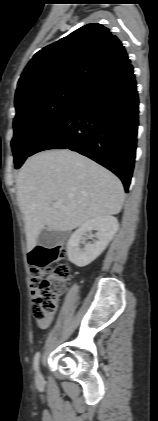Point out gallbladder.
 Wrapping results in <instances>:
<instances>
[{
  "mask_svg": "<svg viewBox=\"0 0 158 421\" xmlns=\"http://www.w3.org/2000/svg\"><path fill=\"white\" fill-rule=\"evenodd\" d=\"M66 236V232L50 230L48 227H45L39 233L37 242L44 248L50 249L62 244L65 241Z\"/></svg>",
  "mask_w": 158,
  "mask_h": 421,
  "instance_id": "bac80fb5",
  "label": "gallbladder"
}]
</instances>
